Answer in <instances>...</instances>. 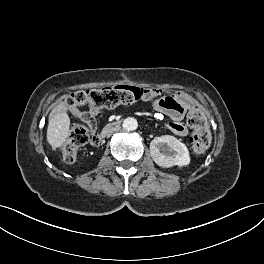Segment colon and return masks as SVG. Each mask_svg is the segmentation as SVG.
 Wrapping results in <instances>:
<instances>
[{
	"label": "colon",
	"mask_w": 264,
	"mask_h": 264,
	"mask_svg": "<svg viewBox=\"0 0 264 264\" xmlns=\"http://www.w3.org/2000/svg\"><path fill=\"white\" fill-rule=\"evenodd\" d=\"M144 95L145 90L132 86L101 87L73 92L66 98V104L70 108L88 106L97 109H112L121 105H131L143 98ZM187 121L193 129L190 137L192 150L197 155L202 154L211 143L207 118L200 109L193 107L188 112ZM90 139H92L90 130L83 125H74L69 138L61 147L63 159L68 163L75 162L80 147Z\"/></svg>",
	"instance_id": "obj_1"
}]
</instances>
